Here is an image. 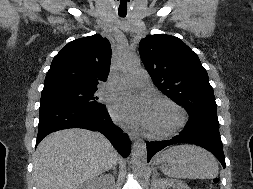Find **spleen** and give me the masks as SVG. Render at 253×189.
I'll use <instances>...</instances> for the list:
<instances>
[{
  "label": "spleen",
  "instance_id": "3e777b00",
  "mask_svg": "<svg viewBox=\"0 0 253 189\" xmlns=\"http://www.w3.org/2000/svg\"><path fill=\"white\" fill-rule=\"evenodd\" d=\"M160 161L168 166L161 167L164 174L171 178L213 179L218 175L216 158L207 150L195 145H176L161 153Z\"/></svg>",
  "mask_w": 253,
  "mask_h": 189
}]
</instances>
